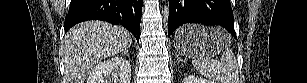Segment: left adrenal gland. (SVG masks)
Returning a JSON list of instances; mask_svg holds the SVG:
<instances>
[{
	"instance_id": "1",
	"label": "left adrenal gland",
	"mask_w": 307,
	"mask_h": 83,
	"mask_svg": "<svg viewBox=\"0 0 307 83\" xmlns=\"http://www.w3.org/2000/svg\"><path fill=\"white\" fill-rule=\"evenodd\" d=\"M180 62H181V58L177 56V64H179Z\"/></svg>"
}]
</instances>
